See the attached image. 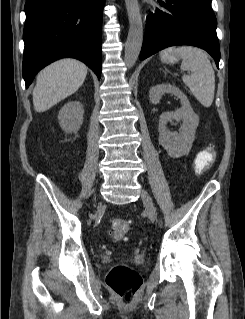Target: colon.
Returning a JSON list of instances; mask_svg holds the SVG:
<instances>
[{
    "label": "colon",
    "mask_w": 245,
    "mask_h": 319,
    "mask_svg": "<svg viewBox=\"0 0 245 319\" xmlns=\"http://www.w3.org/2000/svg\"><path fill=\"white\" fill-rule=\"evenodd\" d=\"M215 159V151L208 148L200 152L194 163L195 173L200 175L206 172ZM111 229L114 236L121 239L127 235L130 230L128 221L120 218L111 220ZM141 277L132 268L126 265L113 266L106 276L107 286L120 298L124 303H129L137 294L141 287Z\"/></svg>",
    "instance_id": "5ec220e1"
}]
</instances>
